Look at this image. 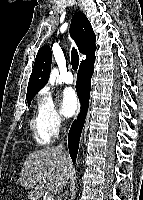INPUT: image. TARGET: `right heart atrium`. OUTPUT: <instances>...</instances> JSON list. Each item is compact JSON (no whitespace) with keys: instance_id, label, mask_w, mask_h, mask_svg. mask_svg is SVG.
Returning a JSON list of instances; mask_svg holds the SVG:
<instances>
[{"instance_id":"right-heart-atrium-1","label":"right heart atrium","mask_w":143,"mask_h":200,"mask_svg":"<svg viewBox=\"0 0 143 200\" xmlns=\"http://www.w3.org/2000/svg\"><path fill=\"white\" fill-rule=\"evenodd\" d=\"M38 110L46 133L51 138L58 136L63 129L64 120L47 90L42 91L39 96Z\"/></svg>"}]
</instances>
